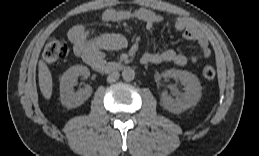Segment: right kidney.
Returning a JSON list of instances; mask_svg holds the SVG:
<instances>
[{
	"label": "right kidney",
	"mask_w": 259,
	"mask_h": 156,
	"mask_svg": "<svg viewBox=\"0 0 259 156\" xmlns=\"http://www.w3.org/2000/svg\"><path fill=\"white\" fill-rule=\"evenodd\" d=\"M88 78L90 71L86 66L76 65L67 69L60 78V100L63 106L75 108L82 105L92 94V88L86 85L83 89L74 90L77 77Z\"/></svg>",
	"instance_id": "right-kidney-1"
}]
</instances>
